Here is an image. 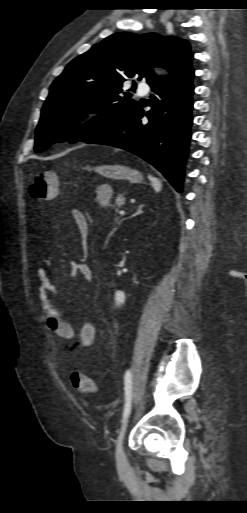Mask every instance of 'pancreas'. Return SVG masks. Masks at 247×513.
<instances>
[{"label": "pancreas", "mask_w": 247, "mask_h": 513, "mask_svg": "<svg viewBox=\"0 0 247 513\" xmlns=\"http://www.w3.org/2000/svg\"><path fill=\"white\" fill-rule=\"evenodd\" d=\"M123 203H124V199H123V198L117 202V208H115V212H119V208L121 207V205H122ZM119 219H120V216H117V217L115 218V222H118V221H119Z\"/></svg>", "instance_id": "cf45deb5"}]
</instances>
